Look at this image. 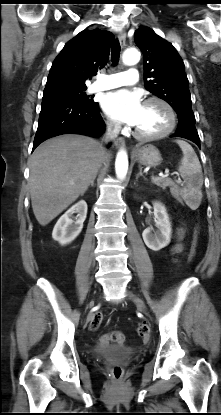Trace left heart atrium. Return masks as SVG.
Here are the masks:
<instances>
[{
    "label": "left heart atrium",
    "mask_w": 221,
    "mask_h": 415,
    "mask_svg": "<svg viewBox=\"0 0 221 415\" xmlns=\"http://www.w3.org/2000/svg\"><path fill=\"white\" fill-rule=\"evenodd\" d=\"M102 105L109 117L131 126L137 125L143 109L139 93L128 90L107 94Z\"/></svg>",
    "instance_id": "left-heart-atrium-1"
}]
</instances>
